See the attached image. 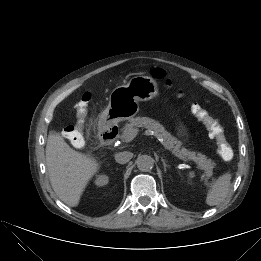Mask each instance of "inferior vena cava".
<instances>
[{"label":"inferior vena cava","mask_w":261,"mask_h":261,"mask_svg":"<svg viewBox=\"0 0 261 261\" xmlns=\"http://www.w3.org/2000/svg\"><path fill=\"white\" fill-rule=\"evenodd\" d=\"M133 154L128 151H123L115 154V160L119 164H125L130 161L132 158Z\"/></svg>","instance_id":"obj_1"}]
</instances>
